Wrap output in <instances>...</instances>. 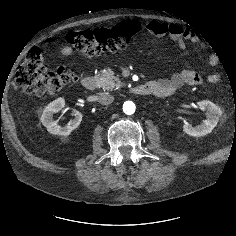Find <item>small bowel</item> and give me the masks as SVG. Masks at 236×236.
<instances>
[{"label":"small bowel","mask_w":236,"mask_h":236,"mask_svg":"<svg viewBox=\"0 0 236 236\" xmlns=\"http://www.w3.org/2000/svg\"><path fill=\"white\" fill-rule=\"evenodd\" d=\"M145 29L155 37L169 36L181 49H185L187 47V40H196L194 33L189 32L180 25L174 23L149 21L145 24ZM62 54L68 57L72 56L73 49L69 46H66L62 49ZM214 60V56H211L210 61L214 62ZM208 80L212 83H217L220 80L219 73H211L208 76ZM149 83L153 86V95L165 97L173 94L184 85L200 84L201 77L196 71L187 69L174 74L169 78L158 79Z\"/></svg>","instance_id":"c3829d8e"}]
</instances>
